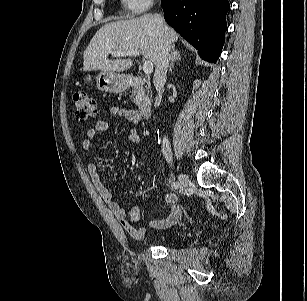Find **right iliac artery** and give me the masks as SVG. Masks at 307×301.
Listing matches in <instances>:
<instances>
[{
	"mask_svg": "<svg viewBox=\"0 0 307 301\" xmlns=\"http://www.w3.org/2000/svg\"><path fill=\"white\" fill-rule=\"evenodd\" d=\"M171 187L174 189H178L180 187V183L178 181H172Z\"/></svg>",
	"mask_w": 307,
	"mask_h": 301,
	"instance_id": "82829eb1",
	"label": "right iliac artery"
}]
</instances>
